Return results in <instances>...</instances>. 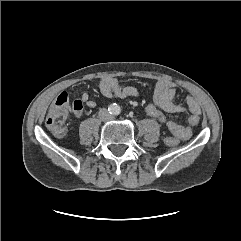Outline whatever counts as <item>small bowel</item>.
Instances as JSON below:
<instances>
[{"label":"small bowel","mask_w":241,"mask_h":241,"mask_svg":"<svg viewBox=\"0 0 241 241\" xmlns=\"http://www.w3.org/2000/svg\"><path fill=\"white\" fill-rule=\"evenodd\" d=\"M99 90L107 98H127L139 95L137 88L133 86H121L116 78L105 77L99 81ZM176 86L167 80H160L155 84L154 103L167 113L190 112L192 115L199 116L201 108L199 103L191 96L186 97V105L183 106L175 102ZM87 108L96 107V102L86 92H81L79 98ZM76 116L81 115V111L75 113Z\"/></svg>","instance_id":"small-bowel-1"}]
</instances>
